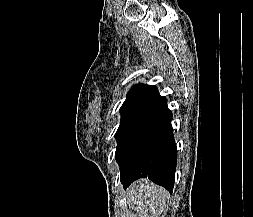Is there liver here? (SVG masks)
<instances>
[{
	"mask_svg": "<svg viewBox=\"0 0 253 217\" xmlns=\"http://www.w3.org/2000/svg\"><path fill=\"white\" fill-rule=\"evenodd\" d=\"M126 197L139 217H160L169 193L149 180L141 179L129 186Z\"/></svg>",
	"mask_w": 253,
	"mask_h": 217,
	"instance_id": "6515ba94",
	"label": "liver"
}]
</instances>
